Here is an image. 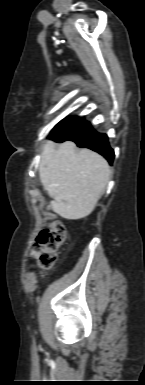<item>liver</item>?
<instances>
[{
  "label": "liver",
  "mask_w": 145,
  "mask_h": 385,
  "mask_svg": "<svg viewBox=\"0 0 145 385\" xmlns=\"http://www.w3.org/2000/svg\"><path fill=\"white\" fill-rule=\"evenodd\" d=\"M110 167L98 153L78 150L72 141L48 140L42 149L39 176L52 210L69 220L81 219L94 210L110 179Z\"/></svg>",
  "instance_id": "1"
}]
</instances>
